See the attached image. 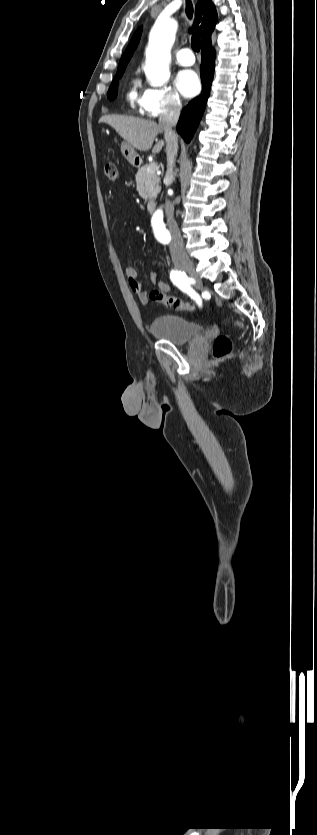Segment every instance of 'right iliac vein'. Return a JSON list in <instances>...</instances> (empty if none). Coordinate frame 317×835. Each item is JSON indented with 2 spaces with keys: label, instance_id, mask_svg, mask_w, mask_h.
<instances>
[{
  "label": "right iliac vein",
  "instance_id": "right-iliac-vein-1",
  "mask_svg": "<svg viewBox=\"0 0 317 835\" xmlns=\"http://www.w3.org/2000/svg\"><path fill=\"white\" fill-rule=\"evenodd\" d=\"M175 266L184 272L188 273L191 277L197 280V287L201 288L202 284L200 279L198 278L195 272V266L193 262L188 257H179L175 259Z\"/></svg>",
  "mask_w": 317,
  "mask_h": 835
}]
</instances>
